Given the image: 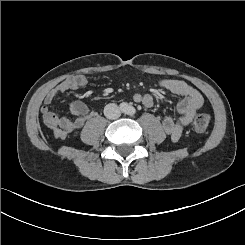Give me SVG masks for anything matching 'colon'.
<instances>
[{
    "mask_svg": "<svg viewBox=\"0 0 245 245\" xmlns=\"http://www.w3.org/2000/svg\"><path fill=\"white\" fill-rule=\"evenodd\" d=\"M211 123V116L207 113L196 114L192 121V128L198 133L207 132Z\"/></svg>",
    "mask_w": 245,
    "mask_h": 245,
    "instance_id": "colon-1",
    "label": "colon"
}]
</instances>
